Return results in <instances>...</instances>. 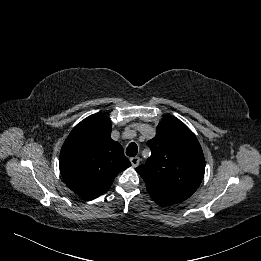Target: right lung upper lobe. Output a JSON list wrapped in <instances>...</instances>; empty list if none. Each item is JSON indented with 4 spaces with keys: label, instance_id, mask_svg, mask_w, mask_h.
Segmentation results:
<instances>
[{
    "label": "right lung upper lobe",
    "instance_id": "1",
    "mask_svg": "<svg viewBox=\"0 0 261 261\" xmlns=\"http://www.w3.org/2000/svg\"><path fill=\"white\" fill-rule=\"evenodd\" d=\"M110 135L109 118L97 113L75 126L62 146L61 176L84 199L104 194L117 174L131 166L122 146Z\"/></svg>",
    "mask_w": 261,
    "mask_h": 261
}]
</instances>
